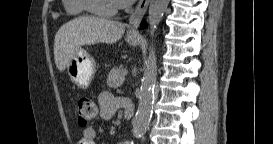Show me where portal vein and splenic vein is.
<instances>
[{
  "instance_id": "portal-vein-and-splenic-vein-1",
  "label": "portal vein and splenic vein",
  "mask_w": 273,
  "mask_h": 144,
  "mask_svg": "<svg viewBox=\"0 0 273 144\" xmlns=\"http://www.w3.org/2000/svg\"><path fill=\"white\" fill-rule=\"evenodd\" d=\"M128 74V71L127 70H124L123 72H122V76L124 77V76H126Z\"/></svg>"
}]
</instances>
